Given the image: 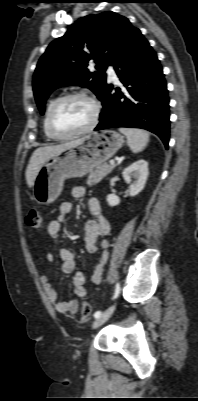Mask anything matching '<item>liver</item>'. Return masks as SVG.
Masks as SVG:
<instances>
[{
  "label": "liver",
  "instance_id": "6515ba94",
  "mask_svg": "<svg viewBox=\"0 0 198 401\" xmlns=\"http://www.w3.org/2000/svg\"><path fill=\"white\" fill-rule=\"evenodd\" d=\"M76 142H78V140L55 146H46L37 148L33 152L25 172L27 185L30 188L34 186L35 178L39 170L49 158L55 156L56 154L60 153L62 150H64L65 148Z\"/></svg>",
  "mask_w": 198,
  "mask_h": 401
}]
</instances>
